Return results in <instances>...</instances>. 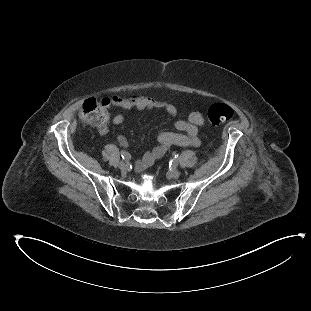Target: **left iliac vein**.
Listing matches in <instances>:
<instances>
[{"label":"left iliac vein","instance_id":"1","mask_svg":"<svg viewBox=\"0 0 311 311\" xmlns=\"http://www.w3.org/2000/svg\"><path fill=\"white\" fill-rule=\"evenodd\" d=\"M169 175L172 178H178L180 176V172L177 169H172L170 170Z\"/></svg>","mask_w":311,"mask_h":311}]
</instances>
